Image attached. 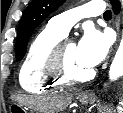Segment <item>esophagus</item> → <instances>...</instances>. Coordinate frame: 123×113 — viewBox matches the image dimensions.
<instances>
[{"mask_svg": "<svg viewBox=\"0 0 123 113\" xmlns=\"http://www.w3.org/2000/svg\"><path fill=\"white\" fill-rule=\"evenodd\" d=\"M117 29H119V28H118V23H117ZM118 32H119V30H118ZM88 95H92V94H88Z\"/></svg>", "mask_w": 123, "mask_h": 113, "instance_id": "obj_1", "label": "esophagus"}]
</instances>
